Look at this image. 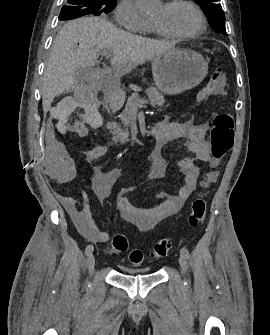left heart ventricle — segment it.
<instances>
[{"label":"left heart ventricle","instance_id":"1","mask_svg":"<svg viewBox=\"0 0 270 335\" xmlns=\"http://www.w3.org/2000/svg\"><path fill=\"white\" fill-rule=\"evenodd\" d=\"M151 23L172 34H186L196 31L200 22L194 10L181 4L169 9L165 4L150 19Z\"/></svg>","mask_w":270,"mask_h":335}]
</instances>
